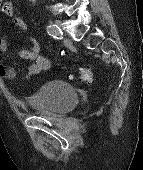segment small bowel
I'll return each mask as SVG.
<instances>
[{"label":"small bowel","mask_w":143,"mask_h":170,"mask_svg":"<svg viewBox=\"0 0 143 170\" xmlns=\"http://www.w3.org/2000/svg\"><path fill=\"white\" fill-rule=\"evenodd\" d=\"M0 9L3 15L9 17L14 16V7L11 2L3 3V0H0ZM13 24L20 30L24 31L27 29L25 21L20 17H13ZM7 48L8 40L6 38H1L0 54L7 51ZM19 57L23 60H28L31 62L26 74L27 78L46 71L50 66L48 60L41 55L40 45L35 40L32 41V45L30 48H22L19 51ZM0 76L5 77L7 79H12L15 76V72L12 68L3 65L0 61Z\"/></svg>","instance_id":"obj_1"}]
</instances>
